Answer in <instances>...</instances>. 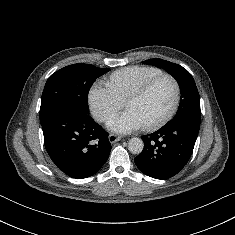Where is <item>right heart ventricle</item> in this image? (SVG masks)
<instances>
[{
    "label": "right heart ventricle",
    "instance_id": "1",
    "mask_svg": "<svg viewBox=\"0 0 235 235\" xmlns=\"http://www.w3.org/2000/svg\"><path fill=\"white\" fill-rule=\"evenodd\" d=\"M160 74H162V71L154 67L131 66L112 73L108 84L117 96L125 102L131 93Z\"/></svg>",
    "mask_w": 235,
    "mask_h": 235
}]
</instances>
